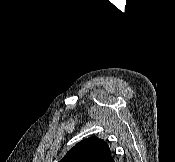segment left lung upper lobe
<instances>
[{
  "mask_svg": "<svg viewBox=\"0 0 175 162\" xmlns=\"http://www.w3.org/2000/svg\"><path fill=\"white\" fill-rule=\"evenodd\" d=\"M111 156L108 144L97 137L78 142L60 162H106Z\"/></svg>",
  "mask_w": 175,
  "mask_h": 162,
  "instance_id": "1",
  "label": "left lung upper lobe"
}]
</instances>
